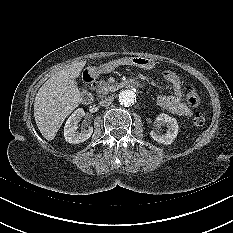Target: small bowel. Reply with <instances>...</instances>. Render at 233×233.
I'll return each mask as SVG.
<instances>
[{
    "label": "small bowel",
    "instance_id": "1",
    "mask_svg": "<svg viewBox=\"0 0 233 233\" xmlns=\"http://www.w3.org/2000/svg\"><path fill=\"white\" fill-rule=\"evenodd\" d=\"M164 78L172 85V95H159L156 104L159 108L178 116H191L192 110L182 101L183 90L179 76L173 71H165Z\"/></svg>",
    "mask_w": 233,
    "mask_h": 233
}]
</instances>
